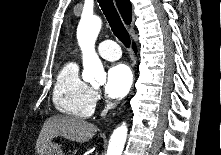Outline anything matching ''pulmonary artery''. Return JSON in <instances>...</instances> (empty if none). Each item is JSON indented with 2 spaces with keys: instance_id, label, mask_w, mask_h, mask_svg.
I'll list each match as a JSON object with an SVG mask.
<instances>
[{
  "instance_id": "e3ab8cb5",
  "label": "pulmonary artery",
  "mask_w": 221,
  "mask_h": 155,
  "mask_svg": "<svg viewBox=\"0 0 221 155\" xmlns=\"http://www.w3.org/2000/svg\"><path fill=\"white\" fill-rule=\"evenodd\" d=\"M98 53L106 60L114 61L121 57L119 45L112 40H105L98 46Z\"/></svg>"
}]
</instances>
